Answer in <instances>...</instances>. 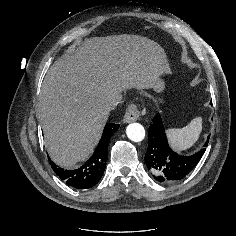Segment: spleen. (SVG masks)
I'll return each mask as SVG.
<instances>
[{"instance_id":"spleen-1","label":"spleen","mask_w":236,"mask_h":236,"mask_svg":"<svg viewBox=\"0 0 236 236\" xmlns=\"http://www.w3.org/2000/svg\"><path fill=\"white\" fill-rule=\"evenodd\" d=\"M202 131V118H194L187 126L181 129H168L167 136L172 147L178 151L192 147Z\"/></svg>"}]
</instances>
